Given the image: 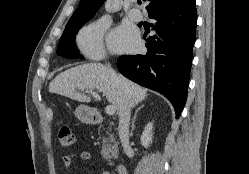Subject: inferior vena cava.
<instances>
[{
	"label": "inferior vena cava",
	"instance_id": "inferior-vena-cava-1",
	"mask_svg": "<svg viewBox=\"0 0 249 174\" xmlns=\"http://www.w3.org/2000/svg\"><path fill=\"white\" fill-rule=\"evenodd\" d=\"M112 75L117 81L115 73L112 71ZM119 125L118 132L124 151L129 149V124H130V106L124 95L120 96V107L118 110Z\"/></svg>",
	"mask_w": 249,
	"mask_h": 174
}]
</instances>
